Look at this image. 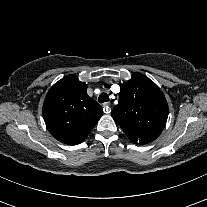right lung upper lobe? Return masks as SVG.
I'll return each mask as SVG.
<instances>
[{
  "label": "right lung upper lobe",
  "mask_w": 207,
  "mask_h": 207,
  "mask_svg": "<svg viewBox=\"0 0 207 207\" xmlns=\"http://www.w3.org/2000/svg\"><path fill=\"white\" fill-rule=\"evenodd\" d=\"M86 91L87 85L71 74L55 83L46 95L43 118L49 132L62 143L83 142L102 115V107Z\"/></svg>",
  "instance_id": "1"
}]
</instances>
